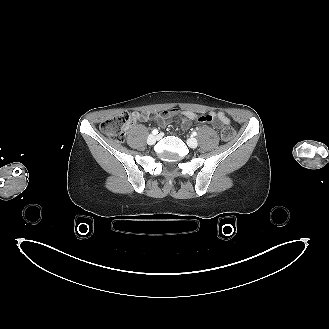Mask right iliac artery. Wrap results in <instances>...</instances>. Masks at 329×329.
<instances>
[{
    "label": "right iliac artery",
    "instance_id": "right-iliac-artery-1",
    "mask_svg": "<svg viewBox=\"0 0 329 329\" xmlns=\"http://www.w3.org/2000/svg\"><path fill=\"white\" fill-rule=\"evenodd\" d=\"M159 132H158V130L157 129H154L153 131H152V134H154V135H157Z\"/></svg>",
    "mask_w": 329,
    "mask_h": 329
}]
</instances>
